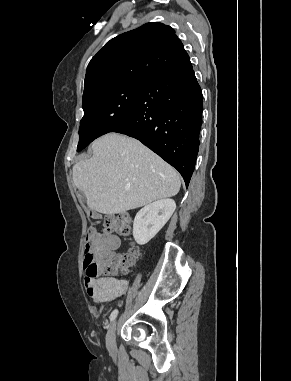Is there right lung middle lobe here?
Segmentation results:
<instances>
[{"label":"right lung middle lobe","instance_id":"dd1d6c3e","mask_svg":"<svg viewBox=\"0 0 291 381\" xmlns=\"http://www.w3.org/2000/svg\"><path fill=\"white\" fill-rule=\"evenodd\" d=\"M145 81L119 84L82 100L84 116L80 121L77 151L96 138L129 120Z\"/></svg>","mask_w":291,"mask_h":381}]
</instances>
